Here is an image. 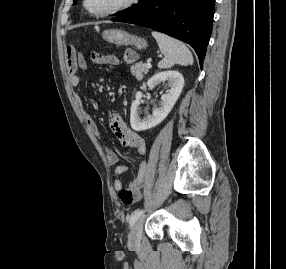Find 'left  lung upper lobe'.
I'll list each match as a JSON object with an SVG mask.
<instances>
[{"label":"left lung upper lobe","instance_id":"left-lung-upper-lobe-1","mask_svg":"<svg viewBox=\"0 0 286 269\" xmlns=\"http://www.w3.org/2000/svg\"><path fill=\"white\" fill-rule=\"evenodd\" d=\"M148 1L149 0H139V4L137 7H130L126 10L120 11V13H122V14L117 16V18H115V19L122 18L124 16L133 14V13L141 10L147 4ZM73 2H76V0H73Z\"/></svg>","mask_w":286,"mask_h":269}]
</instances>
